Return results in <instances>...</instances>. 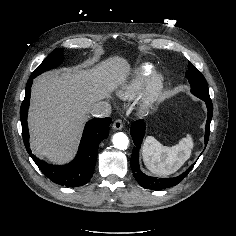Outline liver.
Listing matches in <instances>:
<instances>
[{"instance_id":"6515ba94","label":"liver","mask_w":236,"mask_h":236,"mask_svg":"<svg viewBox=\"0 0 236 236\" xmlns=\"http://www.w3.org/2000/svg\"><path fill=\"white\" fill-rule=\"evenodd\" d=\"M129 66L111 57L91 69H64L34 80L28 123L31 147L53 163L72 159L93 104L124 84Z\"/></svg>"}]
</instances>
